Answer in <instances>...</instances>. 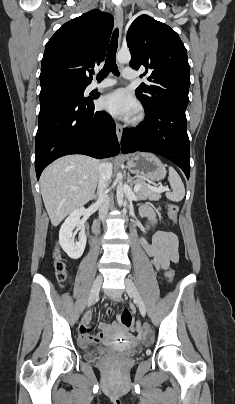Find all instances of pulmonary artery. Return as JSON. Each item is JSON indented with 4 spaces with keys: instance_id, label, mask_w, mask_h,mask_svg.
I'll return each instance as SVG.
<instances>
[{
    "instance_id": "obj_1",
    "label": "pulmonary artery",
    "mask_w": 235,
    "mask_h": 404,
    "mask_svg": "<svg viewBox=\"0 0 235 404\" xmlns=\"http://www.w3.org/2000/svg\"><path fill=\"white\" fill-rule=\"evenodd\" d=\"M136 73L133 69L131 68H125L123 70V77L126 79H134L136 78ZM116 84V80L114 79H104L100 82H93L90 86H89V90H94V89H103V88H107V87H111L113 85Z\"/></svg>"
}]
</instances>
